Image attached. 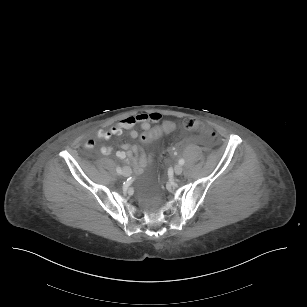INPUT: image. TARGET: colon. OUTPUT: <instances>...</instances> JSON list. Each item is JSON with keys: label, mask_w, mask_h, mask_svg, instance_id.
<instances>
[{"label": "colon", "mask_w": 307, "mask_h": 307, "mask_svg": "<svg viewBox=\"0 0 307 307\" xmlns=\"http://www.w3.org/2000/svg\"><path fill=\"white\" fill-rule=\"evenodd\" d=\"M183 127L186 131H204L205 127L202 124V122L196 120V119H185L183 121ZM176 129V124L173 122L171 118H166L164 120V125L159 126L157 129H152L148 132H143L141 134V139L143 141H150L154 138H157L158 136H163L166 133H170L171 131H174ZM209 137L215 138L216 134L213 131H210L208 133ZM169 153L167 151H163L161 153V159L162 161H166L168 158Z\"/></svg>", "instance_id": "obj_1"}]
</instances>
